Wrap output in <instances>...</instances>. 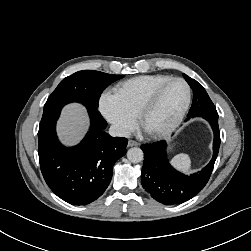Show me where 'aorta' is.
Returning <instances> with one entry per match:
<instances>
[{"label": "aorta", "instance_id": "obj_1", "mask_svg": "<svg viewBox=\"0 0 251 251\" xmlns=\"http://www.w3.org/2000/svg\"><path fill=\"white\" fill-rule=\"evenodd\" d=\"M143 151L138 147L130 148L127 151V158L132 163H139L143 160Z\"/></svg>", "mask_w": 251, "mask_h": 251}]
</instances>
